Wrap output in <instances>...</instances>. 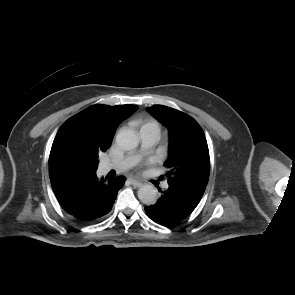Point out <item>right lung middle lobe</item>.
<instances>
[{"label":"right lung middle lobe","mask_w":295,"mask_h":295,"mask_svg":"<svg viewBox=\"0 0 295 295\" xmlns=\"http://www.w3.org/2000/svg\"><path fill=\"white\" fill-rule=\"evenodd\" d=\"M97 167H98V156L94 155L93 159L90 161L88 166L77 175L82 176V175H90L92 173H95L97 170Z\"/></svg>","instance_id":"1"}]
</instances>
